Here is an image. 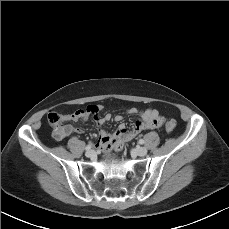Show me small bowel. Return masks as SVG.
I'll use <instances>...</instances> for the list:
<instances>
[{
  "label": "small bowel",
  "instance_id": "c3829d8e",
  "mask_svg": "<svg viewBox=\"0 0 229 229\" xmlns=\"http://www.w3.org/2000/svg\"><path fill=\"white\" fill-rule=\"evenodd\" d=\"M131 115H137L139 118L136 121L135 125L131 129H127L126 125L121 123L115 134L109 133L106 129L100 130V139L97 143V147L102 150L113 148L114 144H122L123 142H128L134 139L141 131L149 130L153 127L152 119L154 115H157V111L147 109V110H138L137 108H130L127 111ZM89 118L84 110H77L72 114L67 115V119L72 121H86ZM111 120L110 114H105L103 116H94V121L98 126H103ZM123 120L121 115H116L114 121L120 123ZM67 132H77L81 133V128H74L72 126L68 127ZM116 136L119 138V141L116 140ZM116 140V142H114Z\"/></svg>",
  "mask_w": 229,
  "mask_h": 229
}]
</instances>
